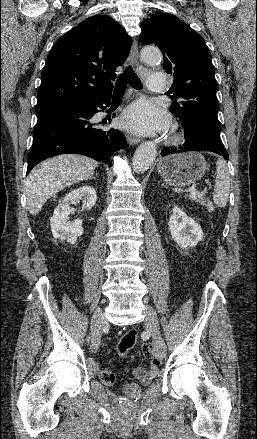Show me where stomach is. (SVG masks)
Segmentation results:
<instances>
[{"label": "stomach", "mask_w": 257, "mask_h": 439, "mask_svg": "<svg viewBox=\"0 0 257 439\" xmlns=\"http://www.w3.org/2000/svg\"><path fill=\"white\" fill-rule=\"evenodd\" d=\"M158 171L168 184L184 187L203 177L206 172V161L198 152L175 153L158 162Z\"/></svg>", "instance_id": "stomach-1"}]
</instances>
